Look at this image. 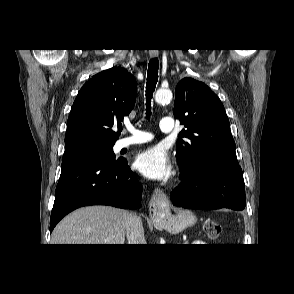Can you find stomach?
<instances>
[{"mask_svg":"<svg viewBox=\"0 0 294 294\" xmlns=\"http://www.w3.org/2000/svg\"><path fill=\"white\" fill-rule=\"evenodd\" d=\"M158 217L159 225L171 233H178L196 222V217L188 210H183L177 214L165 210Z\"/></svg>","mask_w":294,"mask_h":294,"instance_id":"stomach-1","label":"stomach"}]
</instances>
